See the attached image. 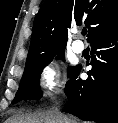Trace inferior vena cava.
<instances>
[{
    "mask_svg": "<svg viewBox=\"0 0 118 123\" xmlns=\"http://www.w3.org/2000/svg\"><path fill=\"white\" fill-rule=\"evenodd\" d=\"M65 123H68V121L65 119Z\"/></svg>",
    "mask_w": 118,
    "mask_h": 123,
    "instance_id": "obj_1",
    "label": "inferior vena cava"
}]
</instances>
